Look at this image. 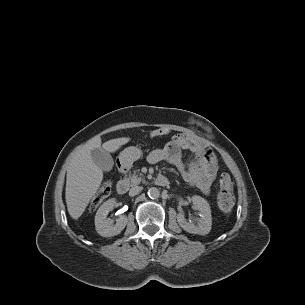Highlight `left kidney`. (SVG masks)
Returning <instances> with one entry per match:
<instances>
[{"label": "left kidney", "mask_w": 305, "mask_h": 305, "mask_svg": "<svg viewBox=\"0 0 305 305\" xmlns=\"http://www.w3.org/2000/svg\"><path fill=\"white\" fill-rule=\"evenodd\" d=\"M193 208L199 211L200 218L197 219V224L187 222L183 213L177 214V222L180 227L188 233L206 235L211 231L212 217L208 202L197 195L192 197Z\"/></svg>", "instance_id": "1"}]
</instances>
